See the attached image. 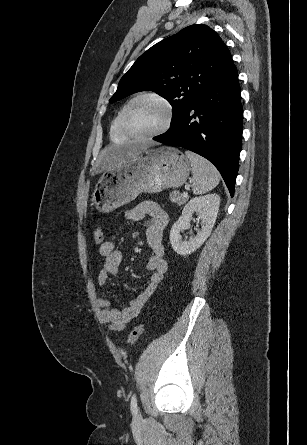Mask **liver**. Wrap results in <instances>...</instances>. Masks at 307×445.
<instances>
[{
	"label": "liver",
	"mask_w": 307,
	"mask_h": 445,
	"mask_svg": "<svg viewBox=\"0 0 307 445\" xmlns=\"http://www.w3.org/2000/svg\"><path fill=\"white\" fill-rule=\"evenodd\" d=\"M127 156H130V150H128V148H120V150H116V148H103L98 156L94 174L111 168V166L118 164L121 160H126ZM97 166H100V168H97Z\"/></svg>",
	"instance_id": "obj_1"
}]
</instances>
